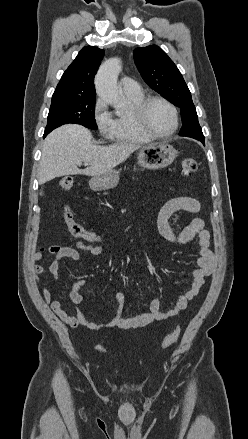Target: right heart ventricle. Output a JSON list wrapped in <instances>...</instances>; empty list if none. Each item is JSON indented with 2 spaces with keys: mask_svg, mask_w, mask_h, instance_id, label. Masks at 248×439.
Instances as JSON below:
<instances>
[{
  "mask_svg": "<svg viewBox=\"0 0 248 439\" xmlns=\"http://www.w3.org/2000/svg\"><path fill=\"white\" fill-rule=\"evenodd\" d=\"M130 107L125 113H118L113 118L111 138L118 143L127 144H146L153 141L154 138L144 133L136 122L135 108L144 98L142 90L139 93H125Z\"/></svg>",
  "mask_w": 248,
  "mask_h": 439,
  "instance_id": "1",
  "label": "right heart ventricle"
}]
</instances>
